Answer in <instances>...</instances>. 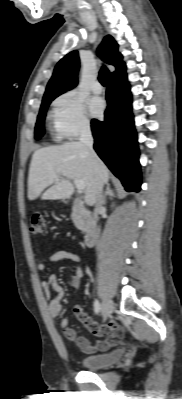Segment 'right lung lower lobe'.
Wrapping results in <instances>:
<instances>
[{
  "label": "right lung lower lobe",
  "instance_id": "right-lung-lower-lobe-1",
  "mask_svg": "<svg viewBox=\"0 0 182 399\" xmlns=\"http://www.w3.org/2000/svg\"><path fill=\"white\" fill-rule=\"evenodd\" d=\"M106 99L105 120L91 121L94 149L126 191L138 192L141 186L139 152L126 74L110 80Z\"/></svg>",
  "mask_w": 182,
  "mask_h": 399
}]
</instances>
